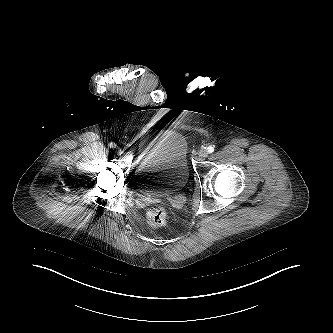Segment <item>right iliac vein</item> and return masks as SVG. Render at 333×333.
Masks as SVG:
<instances>
[{"mask_svg":"<svg viewBox=\"0 0 333 333\" xmlns=\"http://www.w3.org/2000/svg\"><path fill=\"white\" fill-rule=\"evenodd\" d=\"M115 153H121V147H116L115 148Z\"/></svg>","mask_w":333,"mask_h":333,"instance_id":"right-iliac-vein-1","label":"right iliac vein"}]
</instances>
